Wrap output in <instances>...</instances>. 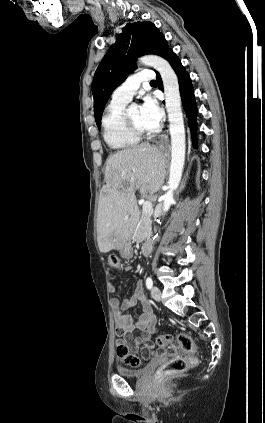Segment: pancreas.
Here are the masks:
<instances>
[{"label":"pancreas","instance_id":"1","mask_svg":"<svg viewBox=\"0 0 265 423\" xmlns=\"http://www.w3.org/2000/svg\"><path fill=\"white\" fill-rule=\"evenodd\" d=\"M151 230V213H144L142 212L140 221L134 231L133 238L136 241L145 240Z\"/></svg>","mask_w":265,"mask_h":423}]
</instances>
